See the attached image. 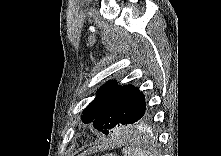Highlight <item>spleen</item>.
I'll list each match as a JSON object with an SVG mask.
<instances>
[{"label": "spleen", "instance_id": "obj_1", "mask_svg": "<svg viewBox=\"0 0 221 156\" xmlns=\"http://www.w3.org/2000/svg\"><path fill=\"white\" fill-rule=\"evenodd\" d=\"M124 156H151L149 152L145 151L141 148H134V149H124L123 150Z\"/></svg>", "mask_w": 221, "mask_h": 156}]
</instances>
